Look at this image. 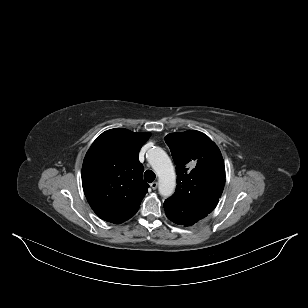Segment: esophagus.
<instances>
[{"mask_svg": "<svg viewBox=\"0 0 308 308\" xmlns=\"http://www.w3.org/2000/svg\"><path fill=\"white\" fill-rule=\"evenodd\" d=\"M150 186H151V188H152L153 190H155V189H157V187H158V183H157V182H152V183L150 184Z\"/></svg>", "mask_w": 308, "mask_h": 308, "instance_id": "obj_1", "label": "esophagus"}]
</instances>
